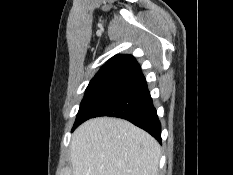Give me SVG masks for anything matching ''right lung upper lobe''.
I'll return each mask as SVG.
<instances>
[{"label":"right lung upper lobe","mask_w":233,"mask_h":175,"mask_svg":"<svg viewBox=\"0 0 233 175\" xmlns=\"http://www.w3.org/2000/svg\"><path fill=\"white\" fill-rule=\"evenodd\" d=\"M126 77L138 79L143 77L139 64L131 55H116L98 71L94 78Z\"/></svg>","instance_id":"right-lung-upper-lobe-1"}]
</instances>
